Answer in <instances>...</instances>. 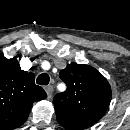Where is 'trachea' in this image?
<instances>
[{
	"instance_id": "trachea-1",
	"label": "trachea",
	"mask_w": 130,
	"mask_h": 130,
	"mask_svg": "<svg viewBox=\"0 0 130 130\" xmlns=\"http://www.w3.org/2000/svg\"><path fill=\"white\" fill-rule=\"evenodd\" d=\"M49 81H50V77L46 73L40 74L36 80L37 84H39V85H47L49 83Z\"/></svg>"
}]
</instances>
